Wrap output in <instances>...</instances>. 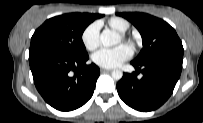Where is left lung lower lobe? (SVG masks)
Listing matches in <instances>:
<instances>
[{
  "label": "left lung lower lobe",
  "mask_w": 203,
  "mask_h": 123,
  "mask_svg": "<svg viewBox=\"0 0 203 123\" xmlns=\"http://www.w3.org/2000/svg\"><path fill=\"white\" fill-rule=\"evenodd\" d=\"M183 57L170 56L131 62L136 72L123 74L117 83L120 98L135 110L148 112L159 108L172 94L182 71ZM143 74L137 78L138 73Z\"/></svg>",
  "instance_id": "1"
}]
</instances>
